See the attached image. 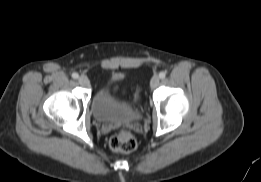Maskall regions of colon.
<instances>
[{"label": "colon", "mask_w": 261, "mask_h": 182, "mask_svg": "<svg viewBox=\"0 0 261 182\" xmlns=\"http://www.w3.org/2000/svg\"><path fill=\"white\" fill-rule=\"evenodd\" d=\"M135 101H137V95ZM136 145L135 136L127 130H120L109 139V147L115 152H131L136 148Z\"/></svg>", "instance_id": "colon-1"}]
</instances>
